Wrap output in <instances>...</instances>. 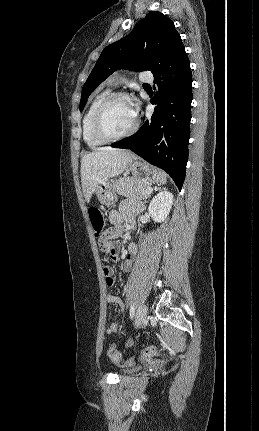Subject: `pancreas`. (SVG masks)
<instances>
[{
    "mask_svg": "<svg viewBox=\"0 0 259 431\" xmlns=\"http://www.w3.org/2000/svg\"><path fill=\"white\" fill-rule=\"evenodd\" d=\"M149 187L142 180L133 177L120 178L113 184V189L117 194L138 200L147 199L149 193H145V191Z\"/></svg>",
    "mask_w": 259,
    "mask_h": 431,
    "instance_id": "1",
    "label": "pancreas"
}]
</instances>
